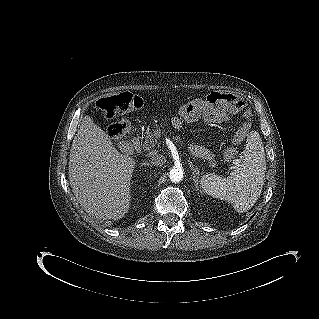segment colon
Wrapping results in <instances>:
<instances>
[{
    "label": "colon",
    "mask_w": 319,
    "mask_h": 319,
    "mask_svg": "<svg viewBox=\"0 0 319 319\" xmlns=\"http://www.w3.org/2000/svg\"><path fill=\"white\" fill-rule=\"evenodd\" d=\"M206 103L213 108L220 106H229L235 110L241 109L244 106L243 100L236 94L230 92L213 91L206 96ZM143 105V100L131 94L130 92H122L119 94L110 95L99 98L94 110L104 115L106 118H115L128 113L131 110L140 109ZM130 128L128 120L120 118L113 123L108 130L109 136L113 139H121L127 135ZM243 136L242 131H239L233 138V143H237ZM238 153L234 146L227 147L224 150L225 158H232Z\"/></svg>",
    "instance_id": "colon-1"
}]
</instances>
